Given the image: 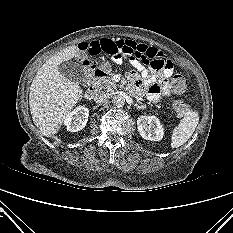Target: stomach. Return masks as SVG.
<instances>
[{"label":"stomach","mask_w":233,"mask_h":233,"mask_svg":"<svg viewBox=\"0 0 233 233\" xmlns=\"http://www.w3.org/2000/svg\"><path fill=\"white\" fill-rule=\"evenodd\" d=\"M100 69L104 72V73H109L111 71V66L109 63H103L100 66Z\"/></svg>","instance_id":"0dacf381"}]
</instances>
